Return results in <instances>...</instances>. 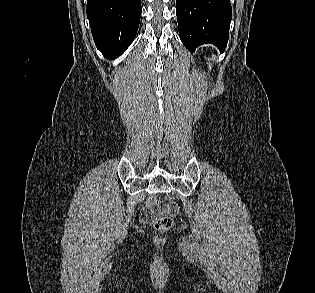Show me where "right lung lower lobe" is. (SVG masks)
<instances>
[{
    "label": "right lung lower lobe",
    "mask_w": 315,
    "mask_h": 293,
    "mask_svg": "<svg viewBox=\"0 0 315 293\" xmlns=\"http://www.w3.org/2000/svg\"><path fill=\"white\" fill-rule=\"evenodd\" d=\"M141 0H88L87 18L97 48L104 57L121 55L134 40Z\"/></svg>",
    "instance_id": "right-lung-lower-lobe-1"
}]
</instances>
